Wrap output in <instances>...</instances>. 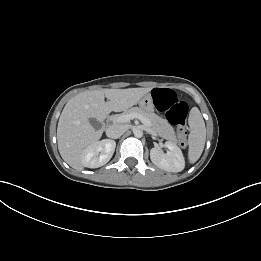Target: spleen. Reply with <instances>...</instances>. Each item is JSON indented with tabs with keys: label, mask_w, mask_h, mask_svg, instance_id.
<instances>
[{
	"label": "spleen",
	"mask_w": 261,
	"mask_h": 261,
	"mask_svg": "<svg viewBox=\"0 0 261 261\" xmlns=\"http://www.w3.org/2000/svg\"><path fill=\"white\" fill-rule=\"evenodd\" d=\"M189 125L190 134L188 137V159L190 163H195L200 158L206 141L205 123L200 111L197 108H193L191 110Z\"/></svg>",
	"instance_id": "1"
}]
</instances>
